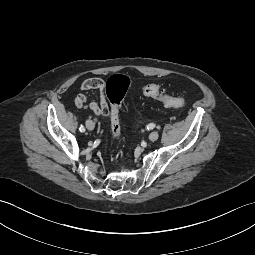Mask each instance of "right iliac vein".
Segmentation results:
<instances>
[{
	"label": "right iliac vein",
	"instance_id": "1",
	"mask_svg": "<svg viewBox=\"0 0 255 255\" xmlns=\"http://www.w3.org/2000/svg\"><path fill=\"white\" fill-rule=\"evenodd\" d=\"M86 127H87L88 130H93L94 127H95V124L92 120H87L86 121Z\"/></svg>",
	"mask_w": 255,
	"mask_h": 255
}]
</instances>
